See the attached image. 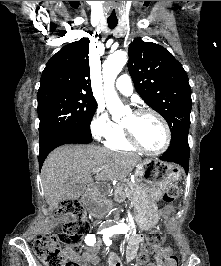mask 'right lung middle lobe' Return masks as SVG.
<instances>
[{"instance_id": "right-lung-middle-lobe-1", "label": "right lung middle lobe", "mask_w": 221, "mask_h": 266, "mask_svg": "<svg viewBox=\"0 0 221 266\" xmlns=\"http://www.w3.org/2000/svg\"><path fill=\"white\" fill-rule=\"evenodd\" d=\"M39 145L67 133L91 138L90 123L96 100L88 95L63 89L39 90L37 95Z\"/></svg>"}]
</instances>
